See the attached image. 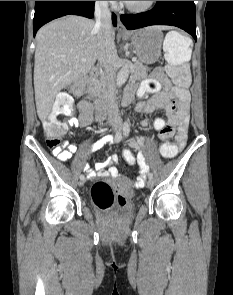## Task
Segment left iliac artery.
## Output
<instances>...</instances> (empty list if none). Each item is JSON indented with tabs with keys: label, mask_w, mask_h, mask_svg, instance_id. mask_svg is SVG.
I'll return each mask as SVG.
<instances>
[{
	"label": "left iliac artery",
	"mask_w": 233,
	"mask_h": 295,
	"mask_svg": "<svg viewBox=\"0 0 233 295\" xmlns=\"http://www.w3.org/2000/svg\"><path fill=\"white\" fill-rule=\"evenodd\" d=\"M129 133H130V126H129L128 122L125 121L124 122V125H123V134H124L125 137H127L129 135ZM148 178L149 179H152L153 178V174L152 173H149L148 174Z\"/></svg>",
	"instance_id": "left-iliac-artery-1"
}]
</instances>
